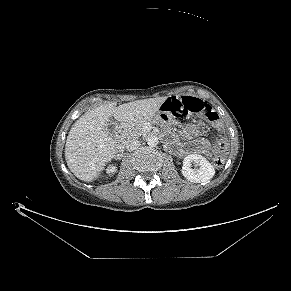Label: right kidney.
I'll list each match as a JSON object with an SVG mask.
<instances>
[{"label": "right kidney", "mask_w": 291, "mask_h": 291, "mask_svg": "<svg viewBox=\"0 0 291 291\" xmlns=\"http://www.w3.org/2000/svg\"><path fill=\"white\" fill-rule=\"evenodd\" d=\"M117 171V167L115 165H111L106 169V173L109 175L114 174Z\"/></svg>", "instance_id": "right-kidney-1"}]
</instances>
